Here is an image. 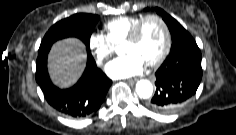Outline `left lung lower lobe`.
I'll return each instance as SVG.
<instances>
[{
  "mask_svg": "<svg viewBox=\"0 0 236 135\" xmlns=\"http://www.w3.org/2000/svg\"><path fill=\"white\" fill-rule=\"evenodd\" d=\"M172 37L181 39L180 24L172 30ZM157 87L149 107L158 113L169 114L190 100L202 79L201 52L196 42H187L170 52L156 71Z\"/></svg>",
  "mask_w": 236,
  "mask_h": 135,
  "instance_id": "left-lung-lower-lobe-1",
  "label": "left lung lower lobe"
}]
</instances>
